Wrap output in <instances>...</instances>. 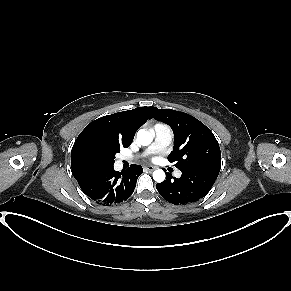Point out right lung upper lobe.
Returning <instances> with one entry per match:
<instances>
[{"label": "right lung upper lobe", "mask_w": 291, "mask_h": 291, "mask_svg": "<svg viewBox=\"0 0 291 291\" xmlns=\"http://www.w3.org/2000/svg\"><path fill=\"white\" fill-rule=\"evenodd\" d=\"M155 107H138L111 115L103 116L88 124L79 134L71 150L72 174L76 179L92 172L82 165L80 153L86 143L100 140L115 143L121 147H129L133 137L149 118Z\"/></svg>", "instance_id": "obj_1"}]
</instances>
